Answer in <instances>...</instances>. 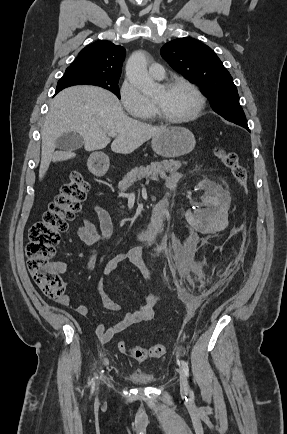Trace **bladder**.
Here are the masks:
<instances>
[{
	"mask_svg": "<svg viewBox=\"0 0 287 434\" xmlns=\"http://www.w3.org/2000/svg\"><path fill=\"white\" fill-rule=\"evenodd\" d=\"M126 378L134 384L145 386L156 382L154 375L142 372L141 370H133L129 372Z\"/></svg>",
	"mask_w": 287,
	"mask_h": 434,
	"instance_id": "31cf9c89",
	"label": "bladder"
}]
</instances>
